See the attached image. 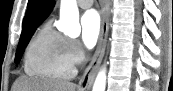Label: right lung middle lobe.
Listing matches in <instances>:
<instances>
[{
  "mask_svg": "<svg viewBox=\"0 0 173 91\" xmlns=\"http://www.w3.org/2000/svg\"><path fill=\"white\" fill-rule=\"evenodd\" d=\"M37 28V27H36ZM29 31V32H24L21 34L18 49L16 51V57H15V62L18 63L21 59V56L24 52L25 47L27 46L31 36L33 35L35 29Z\"/></svg>",
  "mask_w": 173,
  "mask_h": 91,
  "instance_id": "obj_1",
  "label": "right lung middle lobe"
}]
</instances>
